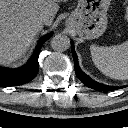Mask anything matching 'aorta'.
<instances>
[{"label":"aorta","instance_id":"1","mask_svg":"<svg viewBox=\"0 0 128 128\" xmlns=\"http://www.w3.org/2000/svg\"><path fill=\"white\" fill-rule=\"evenodd\" d=\"M50 46L55 51L63 52L69 48L70 40L65 35L56 34L52 37Z\"/></svg>","mask_w":128,"mask_h":128}]
</instances>
